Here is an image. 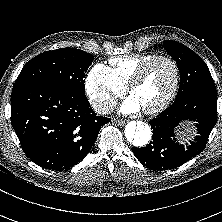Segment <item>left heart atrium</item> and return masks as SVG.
I'll return each instance as SVG.
<instances>
[{"instance_id": "left-heart-atrium-1", "label": "left heart atrium", "mask_w": 222, "mask_h": 222, "mask_svg": "<svg viewBox=\"0 0 222 222\" xmlns=\"http://www.w3.org/2000/svg\"><path fill=\"white\" fill-rule=\"evenodd\" d=\"M141 109H143L142 105L133 95L126 98L120 108L122 113H134L140 111Z\"/></svg>"}]
</instances>
